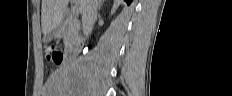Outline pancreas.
Returning a JSON list of instances; mask_svg holds the SVG:
<instances>
[{"label":"pancreas","instance_id":"cf45deb5","mask_svg":"<svg viewBox=\"0 0 232 96\" xmlns=\"http://www.w3.org/2000/svg\"><path fill=\"white\" fill-rule=\"evenodd\" d=\"M77 38L72 35L69 31V29H66L65 35H64V45L66 48H72L76 45Z\"/></svg>","mask_w":232,"mask_h":96}]
</instances>
